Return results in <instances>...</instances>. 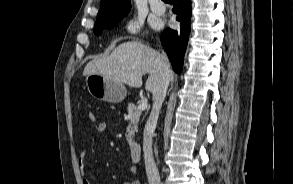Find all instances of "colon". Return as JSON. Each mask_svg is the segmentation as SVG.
Segmentation results:
<instances>
[{
  "label": "colon",
  "mask_w": 293,
  "mask_h": 184,
  "mask_svg": "<svg viewBox=\"0 0 293 184\" xmlns=\"http://www.w3.org/2000/svg\"><path fill=\"white\" fill-rule=\"evenodd\" d=\"M88 118H89L90 121L94 122V121L96 120V115H95V113H94L93 111H90V112L88 113Z\"/></svg>",
  "instance_id": "obj_1"
}]
</instances>
